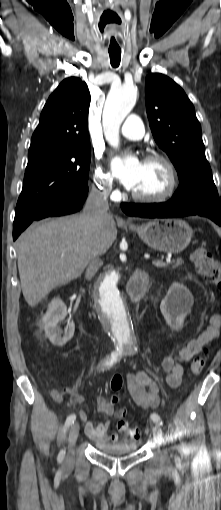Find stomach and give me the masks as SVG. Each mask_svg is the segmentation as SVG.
Segmentation results:
<instances>
[{"instance_id": "0dacf381", "label": "stomach", "mask_w": 221, "mask_h": 510, "mask_svg": "<svg viewBox=\"0 0 221 510\" xmlns=\"http://www.w3.org/2000/svg\"><path fill=\"white\" fill-rule=\"evenodd\" d=\"M152 249L180 253L190 243L192 229L181 219H154L139 227L130 226Z\"/></svg>"}]
</instances>
